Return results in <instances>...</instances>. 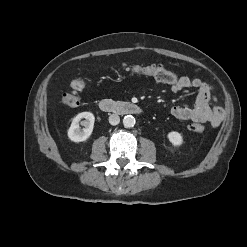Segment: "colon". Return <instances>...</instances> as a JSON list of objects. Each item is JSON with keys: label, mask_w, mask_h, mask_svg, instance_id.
Segmentation results:
<instances>
[{"label": "colon", "mask_w": 247, "mask_h": 247, "mask_svg": "<svg viewBox=\"0 0 247 247\" xmlns=\"http://www.w3.org/2000/svg\"><path fill=\"white\" fill-rule=\"evenodd\" d=\"M125 70L132 74L150 76L157 81L171 85L176 84L179 80L175 73L158 66H126ZM71 87L73 91L63 92L61 99L64 105L69 107H76L80 102L79 95L76 91L83 90L86 87V83L84 80L76 78L72 80ZM189 130L196 133H201L204 130V126L201 123H192L189 125Z\"/></svg>", "instance_id": "obj_1"}]
</instances>
